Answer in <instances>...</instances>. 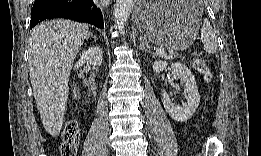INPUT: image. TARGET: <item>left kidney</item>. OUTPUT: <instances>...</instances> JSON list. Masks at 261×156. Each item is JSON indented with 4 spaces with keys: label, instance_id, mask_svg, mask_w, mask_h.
<instances>
[{
    "label": "left kidney",
    "instance_id": "5707ae66",
    "mask_svg": "<svg viewBox=\"0 0 261 156\" xmlns=\"http://www.w3.org/2000/svg\"><path fill=\"white\" fill-rule=\"evenodd\" d=\"M167 66V62L159 60L153 63L152 68L156 73H160L167 68ZM170 68L174 79L180 80L185 85L184 92L187 94L186 102L182 103V107L174 105L166 91L162 92V102L165 110L172 119L178 122H184L190 119L199 105L200 95L198 87L194 75L185 64L174 62Z\"/></svg>",
    "mask_w": 261,
    "mask_h": 156
}]
</instances>
